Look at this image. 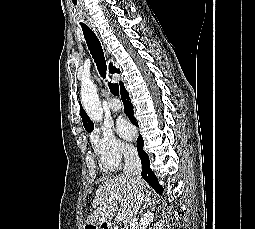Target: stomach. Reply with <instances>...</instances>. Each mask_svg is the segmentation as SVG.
<instances>
[{
	"label": "stomach",
	"mask_w": 255,
	"mask_h": 229,
	"mask_svg": "<svg viewBox=\"0 0 255 229\" xmlns=\"http://www.w3.org/2000/svg\"><path fill=\"white\" fill-rule=\"evenodd\" d=\"M86 229H101V225L87 224Z\"/></svg>",
	"instance_id": "obj_1"
}]
</instances>
